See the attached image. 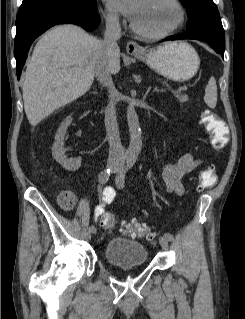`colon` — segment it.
Wrapping results in <instances>:
<instances>
[{
    "label": "colon",
    "instance_id": "5ec220e1",
    "mask_svg": "<svg viewBox=\"0 0 245 319\" xmlns=\"http://www.w3.org/2000/svg\"><path fill=\"white\" fill-rule=\"evenodd\" d=\"M202 122L210 137L211 147L216 151L223 150L228 143V131L225 123L211 110L206 109L202 113ZM217 182V173L214 166H209L199 175V189H206L214 186ZM60 204L62 208L69 210L75 204V197L70 191H63L60 194ZM117 219L114 215L106 213L102 217L101 225L107 231H113L117 226ZM124 234L133 238H146L152 241L154 233L147 225L139 222L125 221L122 224Z\"/></svg>",
    "mask_w": 245,
    "mask_h": 319
}]
</instances>
